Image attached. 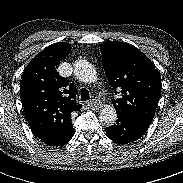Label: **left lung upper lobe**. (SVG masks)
<instances>
[{"mask_svg": "<svg viewBox=\"0 0 183 183\" xmlns=\"http://www.w3.org/2000/svg\"><path fill=\"white\" fill-rule=\"evenodd\" d=\"M100 48L107 79L122 93L113 102L117 114L151 123L161 93V78L155 65L128 43L109 41Z\"/></svg>", "mask_w": 183, "mask_h": 183, "instance_id": "obj_1", "label": "left lung upper lobe"}]
</instances>
